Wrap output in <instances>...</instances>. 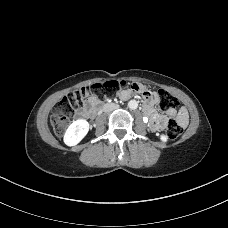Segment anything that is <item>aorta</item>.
Returning a JSON list of instances; mask_svg holds the SVG:
<instances>
[{
  "mask_svg": "<svg viewBox=\"0 0 228 228\" xmlns=\"http://www.w3.org/2000/svg\"><path fill=\"white\" fill-rule=\"evenodd\" d=\"M128 107L131 109V110H135L137 109L138 107V102L136 100H130L128 102Z\"/></svg>",
  "mask_w": 228,
  "mask_h": 228,
  "instance_id": "762f6f07",
  "label": "aorta"
}]
</instances>
